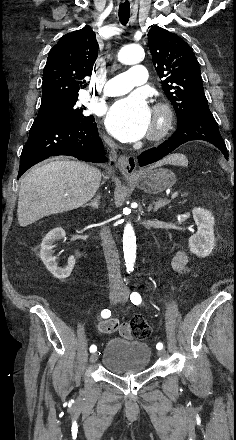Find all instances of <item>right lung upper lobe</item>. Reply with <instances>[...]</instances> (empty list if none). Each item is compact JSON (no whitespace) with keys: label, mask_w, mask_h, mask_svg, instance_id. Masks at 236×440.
Wrapping results in <instances>:
<instances>
[{"label":"right lung upper lobe","mask_w":236,"mask_h":440,"mask_svg":"<svg viewBox=\"0 0 236 440\" xmlns=\"http://www.w3.org/2000/svg\"><path fill=\"white\" fill-rule=\"evenodd\" d=\"M97 56L98 42L90 26L62 36L50 50L43 71L41 106L78 98Z\"/></svg>","instance_id":"1"}]
</instances>
